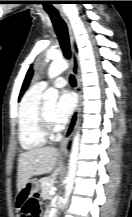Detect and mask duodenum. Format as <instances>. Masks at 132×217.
Instances as JSON below:
<instances>
[{"label":"duodenum","mask_w":132,"mask_h":217,"mask_svg":"<svg viewBox=\"0 0 132 217\" xmlns=\"http://www.w3.org/2000/svg\"><path fill=\"white\" fill-rule=\"evenodd\" d=\"M49 217H56L54 213H51Z\"/></svg>","instance_id":"1"}]
</instances>
